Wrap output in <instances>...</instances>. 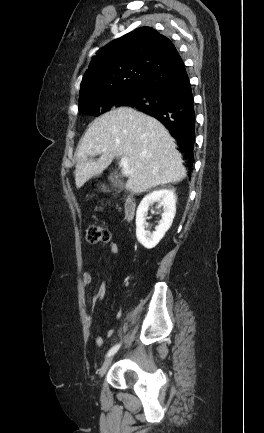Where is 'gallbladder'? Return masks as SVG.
Returning a JSON list of instances; mask_svg holds the SVG:
<instances>
[{
  "label": "gallbladder",
  "instance_id": "bac80fb5",
  "mask_svg": "<svg viewBox=\"0 0 264 433\" xmlns=\"http://www.w3.org/2000/svg\"><path fill=\"white\" fill-rule=\"evenodd\" d=\"M109 178H110V181H111L112 185L115 188H118V189H122L123 188V184L119 181V179H118V177H117V175L115 173H112Z\"/></svg>",
  "mask_w": 264,
  "mask_h": 433
}]
</instances>
